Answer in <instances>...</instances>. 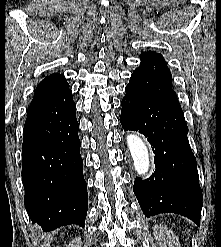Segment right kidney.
I'll return each mask as SVG.
<instances>
[{"label":"right kidney","instance_id":"obj_1","mask_svg":"<svg viewBox=\"0 0 221 247\" xmlns=\"http://www.w3.org/2000/svg\"><path fill=\"white\" fill-rule=\"evenodd\" d=\"M81 238H75L67 247H81Z\"/></svg>","mask_w":221,"mask_h":247}]
</instances>
